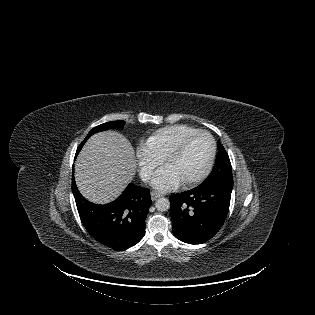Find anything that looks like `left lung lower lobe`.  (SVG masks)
I'll list each match as a JSON object with an SVG mask.
<instances>
[{
  "instance_id": "1",
  "label": "left lung lower lobe",
  "mask_w": 315,
  "mask_h": 315,
  "mask_svg": "<svg viewBox=\"0 0 315 315\" xmlns=\"http://www.w3.org/2000/svg\"><path fill=\"white\" fill-rule=\"evenodd\" d=\"M233 185L200 184L169 198L174 235L189 244H202L221 228L227 216Z\"/></svg>"
}]
</instances>
